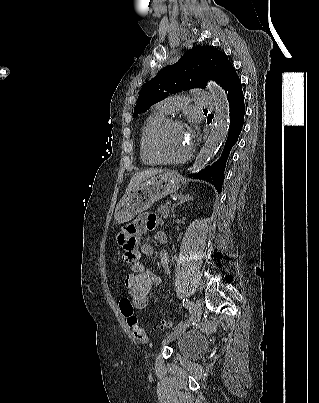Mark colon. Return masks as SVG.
I'll return each instance as SVG.
<instances>
[{
  "mask_svg": "<svg viewBox=\"0 0 319 403\" xmlns=\"http://www.w3.org/2000/svg\"><path fill=\"white\" fill-rule=\"evenodd\" d=\"M127 266L124 267V276H127L125 281L126 287H128L127 296L117 297V304L122 316L121 324L128 325V332L133 341L146 343L148 342V336L139 325L136 313H140L141 309H149V300H152V284L155 282V277L154 275H146V267H143L141 258H135V263H127ZM133 304H135V309ZM171 326L172 321L164 319L157 326V329L163 330Z\"/></svg>",
  "mask_w": 319,
  "mask_h": 403,
  "instance_id": "colon-1",
  "label": "colon"
}]
</instances>
